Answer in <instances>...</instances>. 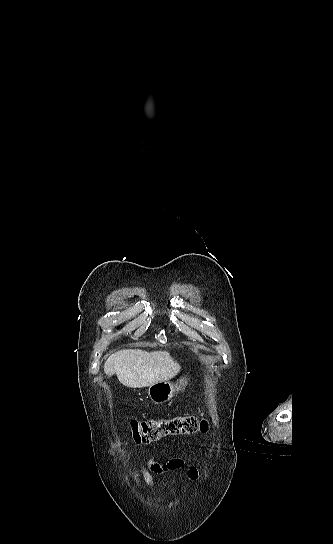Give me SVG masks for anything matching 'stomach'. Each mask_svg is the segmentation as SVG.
I'll list each match as a JSON object with an SVG mask.
<instances>
[{
  "label": "stomach",
  "mask_w": 333,
  "mask_h": 544,
  "mask_svg": "<svg viewBox=\"0 0 333 544\" xmlns=\"http://www.w3.org/2000/svg\"><path fill=\"white\" fill-rule=\"evenodd\" d=\"M187 384V377L184 376L176 384L169 381L154 383L148 388V396L155 404H162L169 401L177 390L183 389Z\"/></svg>",
  "instance_id": "obj_1"
}]
</instances>
